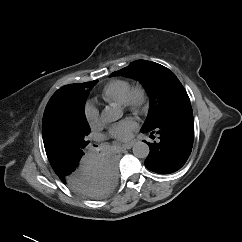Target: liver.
Segmentation results:
<instances>
[{
    "label": "liver",
    "mask_w": 242,
    "mask_h": 242,
    "mask_svg": "<svg viewBox=\"0 0 242 242\" xmlns=\"http://www.w3.org/2000/svg\"><path fill=\"white\" fill-rule=\"evenodd\" d=\"M100 188V185L97 183L96 179H93V181L90 183V190H97Z\"/></svg>",
    "instance_id": "liver-1"
}]
</instances>
